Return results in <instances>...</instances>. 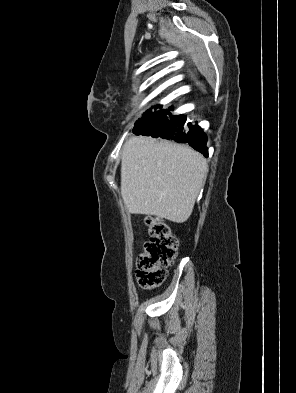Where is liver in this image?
<instances>
[{
  "instance_id": "obj_1",
  "label": "liver",
  "mask_w": 296,
  "mask_h": 393,
  "mask_svg": "<svg viewBox=\"0 0 296 393\" xmlns=\"http://www.w3.org/2000/svg\"><path fill=\"white\" fill-rule=\"evenodd\" d=\"M208 173L193 149L151 137H132L123 146L121 194L128 211L185 222Z\"/></svg>"
}]
</instances>
